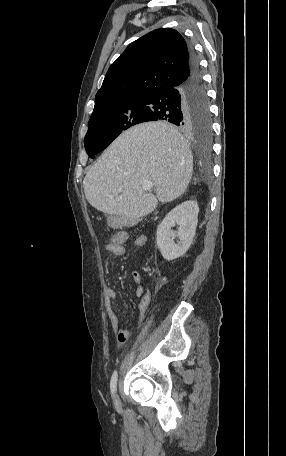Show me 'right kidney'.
<instances>
[{"mask_svg":"<svg viewBox=\"0 0 286 456\" xmlns=\"http://www.w3.org/2000/svg\"><path fill=\"white\" fill-rule=\"evenodd\" d=\"M199 207L196 201L188 200L172 209L159 224L156 232V243L167 261L183 256L192 244L198 223ZM179 225L178 232L171 229ZM178 238L176 244L174 239Z\"/></svg>","mask_w":286,"mask_h":456,"instance_id":"right-kidney-1","label":"right kidney"}]
</instances>
